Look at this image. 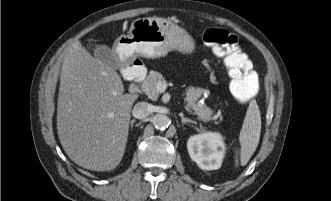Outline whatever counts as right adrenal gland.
I'll return each mask as SVG.
<instances>
[{
    "label": "right adrenal gland",
    "instance_id": "1",
    "mask_svg": "<svg viewBox=\"0 0 331 201\" xmlns=\"http://www.w3.org/2000/svg\"><path fill=\"white\" fill-rule=\"evenodd\" d=\"M135 121H136L135 119L131 120V122H130L131 128H133Z\"/></svg>",
    "mask_w": 331,
    "mask_h": 201
}]
</instances>
